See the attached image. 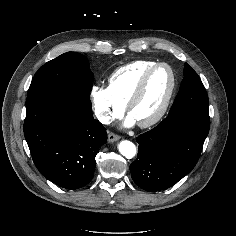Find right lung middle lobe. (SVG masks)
Segmentation results:
<instances>
[{"label": "right lung middle lobe", "instance_id": "right-lung-middle-lobe-1", "mask_svg": "<svg viewBox=\"0 0 236 236\" xmlns=\"http://www.w3.org/2000/svg\"><path fill=\"white\" fill-rule=\"evenodd\" d=\"M93 74L87 58L67 52L44 64L35 74L27 95L50 91L89 97Z\"/></svg>", "mask_w": 236, "mask_h": 236}]
</instances>
